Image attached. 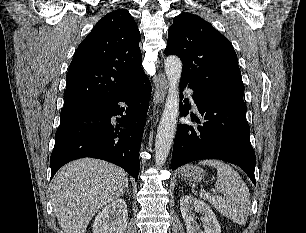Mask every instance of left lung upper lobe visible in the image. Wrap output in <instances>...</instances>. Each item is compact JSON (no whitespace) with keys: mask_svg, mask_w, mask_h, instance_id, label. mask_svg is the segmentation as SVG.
<instances>
[{"mask_svg":"<svg viewBox=\"0 0 306 233\" xmlns=\"http://www.w3.org/2000/svg\"><path fill=\"white\" fill-rule=\"evenodd\" d=\"M164 52L182 60L181 80L197 91L243 99L244 85L233 46L201 17L190 13L176 16Z\"/></svg>","mask_w":306,"mask_h":233,"instance_id":"1","label":"left lung upper lobe"}]
</instances>
